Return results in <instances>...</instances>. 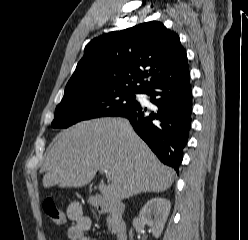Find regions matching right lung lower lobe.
<instances>
[{
    "mask_svg": "<svg viewBox=\"0 0 248 240\" xmlns=\"http://www.w3.org/2000/svg\"><path fill=\"white\" fill-rule=\"evenodd\" d=\"M144 94L158 110L149 113L139 103L116 113L129 119L137 134L157 157L178 173L183 149L191 128L192 90L189 69L177 76L158 82Z\"/></svg>",
    "mask_w": 248,
    "mask_h": 240,
    "instance_id": "1",
    "label": "right lung lower lobe"
}]
</instances>
